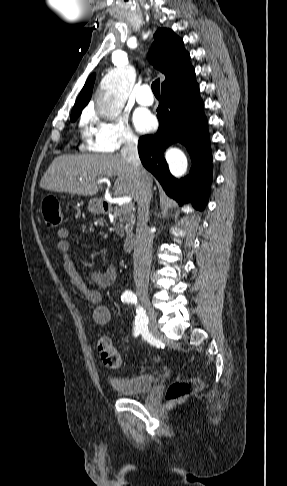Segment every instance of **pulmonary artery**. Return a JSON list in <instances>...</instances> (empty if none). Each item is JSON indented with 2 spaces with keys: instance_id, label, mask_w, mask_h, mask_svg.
Instances as JSON below:
<instances>
[{
  "instance_id": "obj_1",
  "label": "pulmonary artery",
  "mask_w": 287,
  "mask_h": 486,
  "mask_svg": "<svg viewBox=\"0 0 287 486\" xmlns=\"http://www.w3.org/2000/svg\"><path fill=\"white\" fill-rule=\"evenodd\" d=\"M136 101L145 106L152 105L154 97L151 93V89L147 84H144L138 88L135 94Z\"/></svg>"
}]
</instances>
